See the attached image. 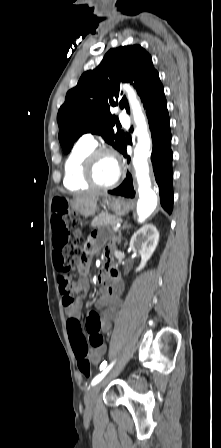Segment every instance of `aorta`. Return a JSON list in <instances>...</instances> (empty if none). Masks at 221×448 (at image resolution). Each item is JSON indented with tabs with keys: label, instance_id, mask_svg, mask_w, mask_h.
Listing matches in <instances>:
<instances>
[{
	"label": "aorta",
	"instance_id": "762f6f07",
	"mask_svg": "<svg viewBox=\"0 0 221 448\" xmlns=\"http://www.w3.org/2000/svg\"><path fill=\"white\" fill-rule=\"evenodd\" d=\"M124 89L127 92L129 104L137 126L136 135L138 141L134 149L133 166L136 171L138 182L139 200L137 203V214L139 216V221H143L151 215L156 208L158 201L156 193L151 189L149 166L147 162V158L150 155L151 138L135 91L129 85H125Z\"/></svg>",
	"mask_w": 221,
	"mask_h": 448
}]
</instances>
